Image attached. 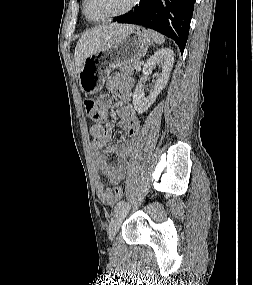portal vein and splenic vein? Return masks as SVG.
<instances>
[{
    "mask_svg": "<svg viewBox=\"0 0 253 285\" xmlns=\"http://www.w3.org/2000/svg\"><path fill=\"white\" fill-rule=\"evenodd\" d=\"M136 69H137V70H140V69H141V64H138V65L136 66Z\"/></svg>",
    "mask_w": 253,
    "mask_h": 285,
    "instance_id": "18ae733b",
    "label": "portal vein and splenic vein"
}]
</instances>
